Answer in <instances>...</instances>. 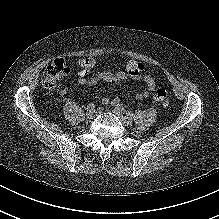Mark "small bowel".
<instances>
[{"label": "small bowel", "instance_id": "small-bowel-1", "mask_svg": "<svg viewBox=\"0 0 219 219\" xmlns=\"http://www.w3.org/2000/svg\"><path fill=\"white\" fill-rule=\"evenodd\" d=\"M90 66H86V59L80 62L81 70L78 76L73 80L74 83L79 85L94 86L100 81L108 83H119L124 80L142 81L145 85V89L136 94V100H142L147 98L155 89L154 78L147 73H142L143 65L135 60H130L127 62L126 71L119 72H101L93 73L92 68L94 66V61L88 59ZM68 92V88H63L60 91L61 96H65ZM103 103L108 105L110 102L108 99H104Z\"/></svg>", "mask_w": 219, "mask_h": 219}]
</instances>
